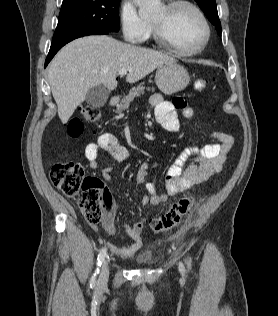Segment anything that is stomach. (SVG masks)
Here are the masks:
<instances>
[{"label":"stomach","instance_id":"1","mask_svg":"<svg viewBox=\"0 0 278 316\" xmlns=\"http://www.w3.org/2000/svg\"><path fill=\"white\" fill-rule=\"evenodd\" d=\"M155 81L164 94L170 95L184 90L190 77L187 70L174 60L158 66Z\"/></svg>","mask_w":278,"mask_h":316}]
</instances>
